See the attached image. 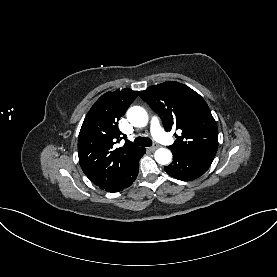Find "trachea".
Here are the masks:
<instances>
[{
  "label": "trachea",
  "instance_id": "3493384b",
  "mask_svg": "<svg viewBox=\"0 0 277 277\" xmlns=\"http://www.w3.org/2000/svg\"><path fill=\"white\" fill-rule=\"evenodd\" d=\"M134 145L135 146H151L152 141H151V139H149L147 137H137L134 140Z\"/></svg>",
  "mask_w": 277,
  "mask_h": 277
}]
</instances>
